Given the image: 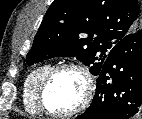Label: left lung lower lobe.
I'll use <instances>...</instances> for the list:
<instances>
[{
	"label": "left lung lower lobe",
	"instance_id": "obj_1",
	"mask_svg": "<svg viewBox=\"0 0 142 119\" xmlns=\"http://www.w3.org/2000/svg\"><path fill=\"white\" fill-rule=\"evenodd\" d=\"M90 107L76 119H130L142 113V29L108 53Z\"/></svg>",
	"mask_w": 142,
	"mask_h": 119
}]
</instances>
